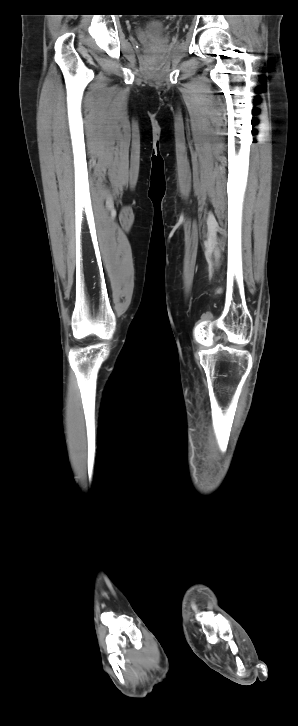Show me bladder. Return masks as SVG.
Returning a JSON list of instances; mask_svg holds the SVG:
<instances>
[{
	"instance_id": "31cf9c89",
	"label": "bladder",
	"mask_w": 298,
	"mask_h": 726,
	"mask_svg": "<svg viewBox=\"0 0 298 726\" xmlns=\"http://www.w3.org/2000/svg\"><path fill=\"white\" fill-rule=\"evenodd\" d=\"M148 28L155 32H162L166 29V25L161 20H152L148 23Z\"/></svg>"
}]
</instances>
